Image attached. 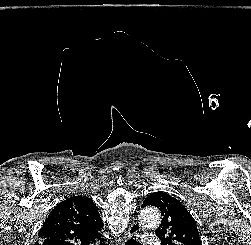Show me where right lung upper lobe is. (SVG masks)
I'll use <instances>...</instances> for the list:
<instances>
[{
    "label": "right lung upper lobe",
    "mask_w": 251,
    "mask_h": 245,
    "mask_svg": "<svg viewBox=\"0 0 251 245\" xmlns=\"http://www.w3.org/2000/svg\"><path fill=\"white\" fill-rule=\"evenodd\" d=\"M103 222L93 201L73 195L50 212L35 245H88L101 237Z\"/></svg>",
    "instance_id": "right-lung-upper-lobe-1"
}]
</instances>
